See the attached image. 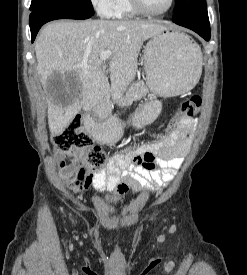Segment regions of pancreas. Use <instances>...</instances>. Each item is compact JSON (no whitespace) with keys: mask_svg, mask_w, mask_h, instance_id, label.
Masks as SVG:
<instances>
[{"mask_svg":"<svg viewBox=\"0 0 247 275\" xmlns=\"http://www.w3.org/2000/svg\"><path fill=\"white\" fill-rule=\"evenodd\" d=\"M149 90L143 81H136L127 90L125 96L121 99L122 104H129L135 100L145 97Z\"/></svg>","mask_w":247,"mask_h":275,"instance_id":"1","label":"pancreas"}]
</instances>
